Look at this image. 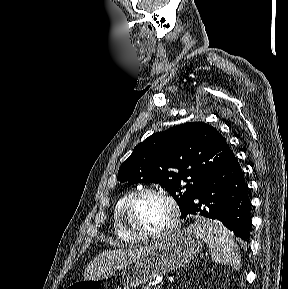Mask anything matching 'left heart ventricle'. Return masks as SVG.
I'll list each match as a JSON object with an SVG mask.
<instances>
[{
  "label": "left heart ventricle",
  "instance_id": "1",
  "mask_svg": "<svg viewBox=\"0 0 288 289\" xmlns=\"http://www.w3.org/2000/svg\"><path fill=\"white\" fill-rule=\"evenodd\" d=\"M171 220L168 204L153 195H144L136 200L128 212V221L136 230L153 233L165 228Z\"/></svg>",
  "mask_w": 288,
  "mask_h": 289
}]
</instances>
